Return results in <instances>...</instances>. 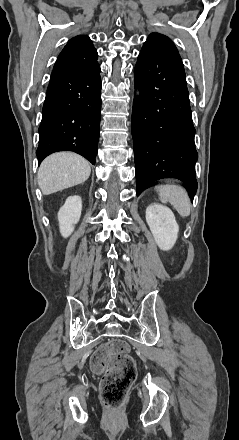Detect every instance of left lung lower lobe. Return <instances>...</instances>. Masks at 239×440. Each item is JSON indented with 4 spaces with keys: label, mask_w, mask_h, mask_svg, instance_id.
<instances>
[{
    "label": "left lung lower lobe",
    "mask_w": 239,
    "mask_h": 440,
    "mask_svg": "<svg viewBox=\"0 0 239 440\" xmlns=\"http://www.w3.org/2000/svg\"><path fill=\"white\" fill-rule=\"evenodd\" d=\"M134 83L141 88L132 112L137 195L151 181L177 178L188 186L193 200L198 154L181 57L142 48Z\"/></svg>",
    "instance_id": "obj_1"
}]
</instances>
